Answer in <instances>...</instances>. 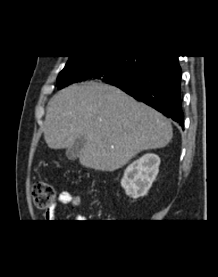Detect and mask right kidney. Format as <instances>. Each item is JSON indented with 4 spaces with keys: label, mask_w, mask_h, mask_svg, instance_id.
Masks as SVG:
<instances>
[{
    "label": "right kidney",
    "mask_w": 218,
    "mask_h": 277,
    "mask_svg": "<svg viewBox=\"0 0 218 277\" xmlns=\"http://www.w3.org/2000/svg\"><path fill=\"white\" fill-rule=\"evenodd\" d=\"M160 158L156 154H145L132 162L124 171L121 186L128 196H145L159 172Z\"/></svg>",
    "instance_id": "right-kidney-1"
}]
</instances>
